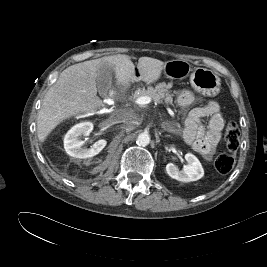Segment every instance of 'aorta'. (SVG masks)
I'll return each mask as SVG.
<instances>
[{
    "label": "aorta",
    "instance_id": "obj_1",
    "mask_svg": "<svg viewBox=\"0 0 267 267\" xmlns=\"http://www.w3.org/2000/svg\"><path fill=\"white\" fill-rule=\"evenodd\" d=\"M137 143L140 146H147L150 143V136L147 132L140 133L137 137Z\"/></svg>",
    "mask_w": 267,
    "mask_h": 267
}]
</instances>
